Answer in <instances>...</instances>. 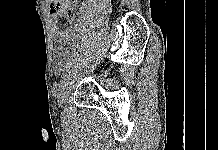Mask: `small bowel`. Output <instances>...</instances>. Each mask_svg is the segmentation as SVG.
Masks as SVG:
<instances>
[{"label":"small bowel","mask_w":218,"mask_h":150,"mask_svg":"<svg viewBox=\"0 0 218 150\" xmlns=\"http://www.w3.org/2000/svg\"><path fill=\"white\" fill-rule=\"evenodd\" d=\"M78 0H66L65 4L58 10H51L52 13V32L58 41H73L76 37L74 31L70 28L61 29L58 25L59 18H64L70 22ZM66 51L62 47L56 49V58L61 61L64 59Z\"/></svg>","instance_id":"small-bowel-1"}]
</instances>
